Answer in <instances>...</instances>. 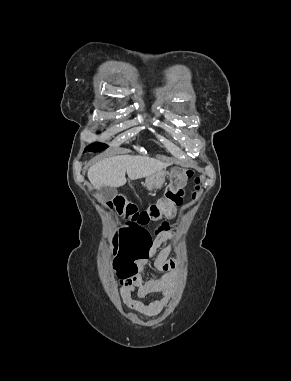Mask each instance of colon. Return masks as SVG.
Instances as JSON below:
<instances>
[{
	"mask_svg": "<svg viewBox=\"0 0 291 381\" xmlns=\"http://www.w3.org/2000/svg\"><path fill=\"white\" fill-rule=\"evenodd\" d=\"M192 176L193 171L189 168L176 170L162 196L143 209H139L133 201L123 195L116 196L108 202V207L123 217L128 225V227L116 231L111 240L116 267L129 271L134 270L135 260L141 255L138 243L146 233L145 227L174 215L176 207L183 201L185 181Z\"/></svg>",
	"mask_w": 291,
	"mask_h": 381,
	"instance_id": "obj_1",
	"label": "colon"
}]
</instances>
